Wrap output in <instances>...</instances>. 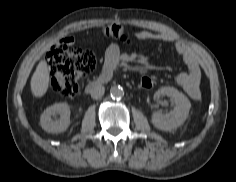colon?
I'll return each mask as SVG.
<instances>
[{
    "instance_id": "5ec220e1",
    "label": "colon",
    "mask_w": 236,
    "mask_h": 182,
    "mask_svg": "<svg viewBox=\"0 0 236 182\" xmlns=\"http://www.w3.org/2000/svg\"><path fill=\"white\" fill-rule=\"evenodd\" d=\"M106 34L126 41V35L116 31L112 26L105 29ZM69 43L62 39L49 50L47 60L51 71L50 85L52 90L65 98H72L78 92V82L91 74L96 66L94 54L86 49H69ZM139 85L143 89H151L155 80L150 76H142Z\"/></svg>"
}]
</instances>
